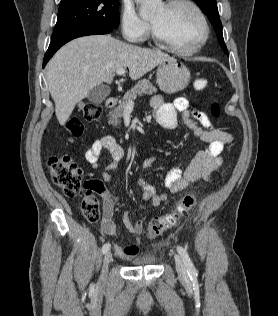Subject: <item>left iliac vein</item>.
Wrapping results in <instances>:
<instances>
[{
  "mask_svg": "<svg viewBox=\"0 0 278 316\" xmlns=\"http://www.w3.org/2000/svg\"><path fill=\"white\" fill-rule=\"evenodd\" d=\"M175 263L178 274L183 278L187 277L185 264L179 255H175Z\"/></svg>",
  "mask_w": 278,
  "mask_h": 316,
  "instance_id": "1",
  "label": "left iliac vein"
}]
</instances>
